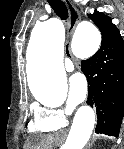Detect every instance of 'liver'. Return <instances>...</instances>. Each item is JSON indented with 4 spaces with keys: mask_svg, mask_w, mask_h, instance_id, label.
<instances>
[{
    "mask_svg": "<svg viewBox=\"0 0 124 149\" xmlns=\"http://www.w3.org/2000/svg\"><path fill=\"white\" fill-rule=\"evenodd\" d=\"M52 137H33L26 146V149H50Z\"/></svg>",
    "mask_w": 124,
    "mask_h": 149,
    "instance_id": "6515ba94",
    "label": "liver"
}]
</instances>
